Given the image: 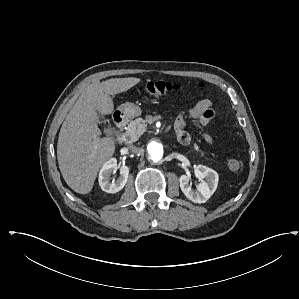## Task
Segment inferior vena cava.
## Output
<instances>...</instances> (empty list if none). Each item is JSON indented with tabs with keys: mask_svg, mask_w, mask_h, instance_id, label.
Masks as SVG:
<instances>
[{
	"mask_svg": "<svg viewBox=\"0 0 299 299\" xmlns=\"http://www.w3.org/2000/svg\"><path fill=\"white\" fill-rule=\"evenodd\" d=\"M128 148L134 154H142L143 153V149L142 148L136 147L134 145H130Z\"/></svg>",
	"mask_w": 299,
	"mask_h": 299,
	"instance_id": "inferior-vena-cava-1",
	"label": "inferior vena cava"
}]
</instances>
